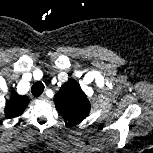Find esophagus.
<instances>
[{
  "mask_svg": "<svg viewBox=\"0 0 153 153\" xmlns=\"http://www.w3.org/2000/svg\"><path fill=\"white\" fill-rule=\"evenodd\" d=\"M38 99L41 100V101H43V100H46L47 97L44 94H42Z\"/></svg>",
  "mask_w": 153,
  "mask_h": 153,
  "instance_id": "34e87169",
  "label": "esophagus"
}]
</instances>
